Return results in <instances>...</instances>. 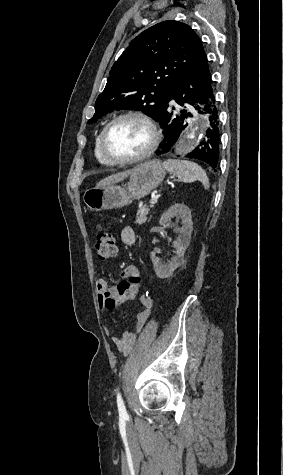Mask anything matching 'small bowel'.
Returning <instances> with one entry per match:
<instances>
[{
	"label": "small bowel",
	"instance_id": "c3829d8e",
	"mask_svg": "<svg viewBox=\"0 0 283 475\" xmlns=\"http://www.w3.org/2000/svg\"><path fill=\"white\" fill-rule=\"evenodd\" d=\"M121 242L125 246H133L136 242V234L131 226H125L121 230ZM137 267L127 266L123 269L121 276L127 279L128 274H136ZM117 286V285H116ZM116 286H109L104 279H98L95 283V295L98 307L101 311H105L107 307L102 306L104 293H117ZM136 297V296H135ZM141 309L136 314L135 325L132 331H124L120 334H114L109 328L104 327L106 336L116 345L118 351L122 355H127L132 350L135 343L136 335L144 327L148 320L153 306V300L149 294H142L140 297Z\"/></svg>",
	"mask_w": 283,
	"mask_h": 475
}]
</instances>
